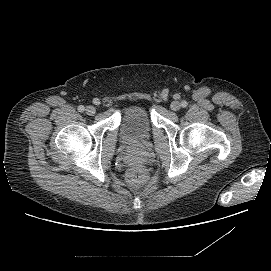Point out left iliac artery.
I'll list each match as a JSON object with an SVG mask.
<instances>
[{
  "instance_id": "left-iliac-artery-1",
  "label": "left iliac artery",
  "mask_w": 271,
  "mask_h": 271,
  "mask_svg": "<svg viewBox=\"0 0 271 271\" xmlns=\"http://www.w3.org/2000/svg\"><path fill=\"white\" fill-rule=\"evenodd\" d=\"M181 106H182V107H186V106H187V102H186V101H182V102H181Z\"/></svg>"
}]
</instances>
